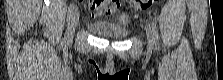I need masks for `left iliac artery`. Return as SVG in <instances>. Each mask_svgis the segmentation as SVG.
Segmentation results:
<instances>
[{"label": "left iliac artery", "instance_id": "left-iliac-artery-1", "mask_svg": "<svg viewBox=\"0 0 223 80\" xmlns=\"http://www.w3.org/2000/svg\"><path fill=\"white\" fill-rule=\"evenodd\" d=\"M151 24H152V31H153L154 36H155V44L159 46V36H158L157 25L154 22V20L151 21Z\"/></svg>", "mask_w": 223, "mask_h": 80}]
</instances>
